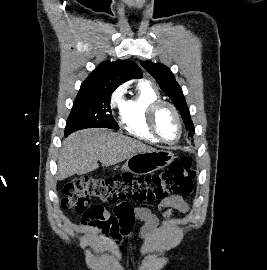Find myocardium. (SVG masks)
Listing matches in <instances>:
<instances>
[{
  "mask_svg": "<svg viewBox=\"0 0 267 270\" xmlns=\"http://www.w3.org/2000/svg\"><path fill=\"white\" fill-rule=\"evenodd\" d=\"M164 107L169 108L174 113L176 120H177V123H178L179 133H178L177 139L175 141H172V142L165 140L160 135V133L157 129V125H156L157 114ZM147 125H148V128H149L150 132L152 133V135L159 142L166 144V145L177 144L180 141L182 134H183V123H182V119H181L179 111L177 110V108L173 104H171L167 101H163V100L156 101L149 106V109L147 112Z\"/></svg>",
  "mask_w": 267,
  "mask_h": 270,
  "instance_id": "1",
  "label": "myocardium"
}]
</instances>
